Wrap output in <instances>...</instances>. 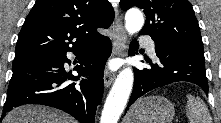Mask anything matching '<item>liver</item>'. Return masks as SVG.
Returning <instances> with one entry per match:
<instances>
[{
  "instance_id": "1",
  "label": "liver",
  "mask_w": 221,
  "mask_h": 123,
  "mask_svg": "<svg viewBox=\"0 0 221 123\" xmlns=\"http://www.w3.org/2000/svg\"><path fill=\"white\" fill-rule=\"evenodd\" d=\"M2 123H76L69 115L53 108L24 105L10 111Z\"/></svg>"
}]
</instances>
